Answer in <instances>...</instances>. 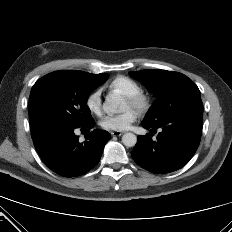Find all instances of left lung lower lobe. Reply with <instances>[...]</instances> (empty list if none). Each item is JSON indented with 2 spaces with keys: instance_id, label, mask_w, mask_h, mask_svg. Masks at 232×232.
<instances>
[{
  "instance_id": "left-lung-lower-lobe-1",
  "label": "left lung lower lobe",
  "mask_w": 232,
  "mask_h": 232,
  "mask_svg": "<svg viewBox=\"0 0 232 232\" xmlns=\"http://www.w3.org/2000/svg\"><path fill=\"white\" fill-rule=\"evenodd\" d=\"M203 125L202 109L181 112L159 124L142 121L146 129L161 128L153 140L149 134L138 136L132 151L134 161L142 168L164 174L182 168L192 158L200 143Z\"/></svg>"
}]
</instances>
